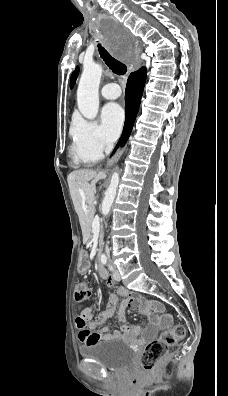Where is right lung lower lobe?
Masks as SVG:
<instances>
[{
    "instance_id": "obj_1",
    "label": "right lung lower lobe",
    "mask_w": 228,
    "mask_h": 396,
    "mask_svg": "<svg viewBox=\"0 0 228 396\" xmlns=\"http://www.w3.org/2000/svg\"><path fill=\"white\" fill-rule=\"evenodd\" d=\"M145 79L146 69L144 67L136 72L131 73L128 78L125 93V125L122 137L119 141V143L121 144H125L127 138L131 133L135 118L139 110Z\"/></svg>"
}]
</instances>
